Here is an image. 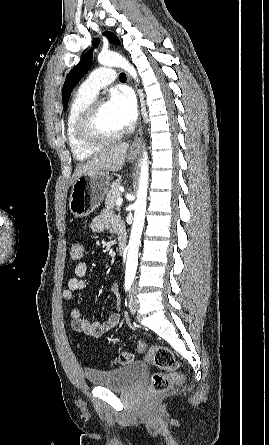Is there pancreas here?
<instances>
[{"instance_id": "pancreas-1", "label": "pancreas", "mask_w": 269, "mask_h": 445, "mask_svg": "<svg viewBox=\"0 0 269 445\" xmlns=\"http://www.w3.org/2000/svg\"><path fill=\"white\" fill-rule=\"evenodd\" d=\"M119 182H113L110 186V191L107 193L106 199H105V206L107 208L113 209L116 205V201L118 198H121V193L119 191Z\"/></svg>"}]
</instances>
